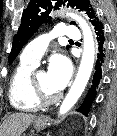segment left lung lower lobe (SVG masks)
Masks as SVG:
<instances>
[{
  "label": "left lung lower lobe",
  "mask_w": 117,
  "mask_h": 136,
  "mask_svg": "<svg viewBox=\"0 0 117 136\" xmlns=\"http://www.w3.org/2000/svg\"><path fill=\"white\" fill-rule=\"evenodd\" d=\"M94 31L97 44V55L94 67V74L85 99L82 102L81 106L78 108V111L86 116L88 115L92 103L96 98L97 92L101 86L102 77L108 67V45L102 22L99 21L94 25Z\"/></svg>",
  "instance_id": "0a47b994"
}]
</instances>
